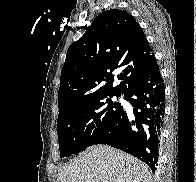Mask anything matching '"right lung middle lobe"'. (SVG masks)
<instances>
[{"mask_svg": "<svg viewBox=\"0 0 196 182\" xmlns=\"http://www.w3.org/2000/svg\"><path fill=\"white\" fill-rule=\"evenodd\" d=\"M114 95H104L61 112L57 120L60 157L84 151L122 111ZM108 97V98H107ZM107 98L106 102L103 99Z\"/></svg>", "mask_w": 196, "mask_h": 182, "instance_id": "right-lung-middle-lobe-1", "label": "right lung middle lobe"}]
</instances>
